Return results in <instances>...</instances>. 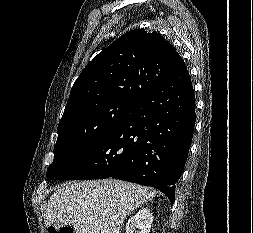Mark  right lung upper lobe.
Returning <instances> with one entry per match:
<instances>
[{"label":"right lung upper lobe","instance_id":"right-lung-upper-lobe-1","mask_svg":"<svg viewBox=\"0 0 253 233\" xmlns=\"http://www.w3.org/2000/svg\"><path fill=\"white\" fill-rule=\"evenodd\" d=\"M183 67L182 57L158 32L131 30L86 65L72 87L63 116L104 100H136Z\"/></svg>","mask_w":253,"mask_h":233}]
</instances>
